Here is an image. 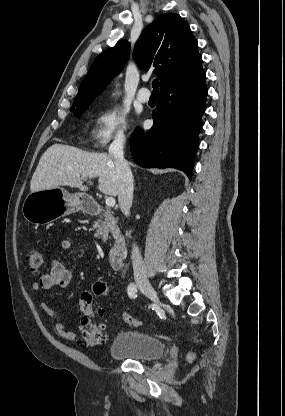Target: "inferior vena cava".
<instances>
[{
	"label": "inferior vena cava",
	"mask_w": 285,
	"mask_h": 416,
	"mask_svg": "<svg viewBox=\"0 0 285 416\" xmlns=\"http://www.w3.org/2000/svg\"><path fill=\"white\" fill-rule=\"evenodd\" d=\"M125 140L126 138L123 132H118L115 136L113 144L109 146L108 152L110 156H112L117 172H119L121 176V186L118 194V202L120 204L121 212H123L125 216H129L133 200V176L130 166L124 158L123 148ZM132 264L134 274H138V276H145V264L137 246H133Z\"/></svg>",
	"instance_id": "obj_1"
}]
</instances>
